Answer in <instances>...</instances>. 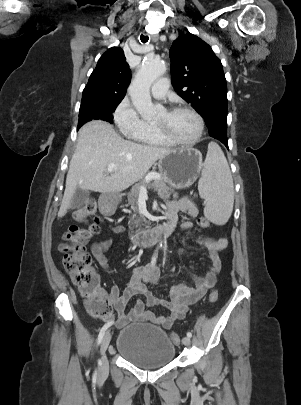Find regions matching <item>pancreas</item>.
Masks as SVG:
<instances>
[{
	"label": "pancreas",
	"mask_w": 301,
	"mask_h": 405,
	"mask_svg": "<svg viewBox=\"0 0 301 405\" xmlns=\"http://www.w3.org/2000/svg\"><path fill=\"white\" fill-rule=\"evenodd\" d=\"M141 187H146L148 189L157 191L159 197L165 201L170 198L172 193L174 197L177 196V193L173 192V190L167 185L166 180L163 177L152 179V181H148L146 179L141 180L139 183L135 184L132 187L131 191L128 193V202L134 213L138 212V198L140 195ZM128 225L130 229V235L140 233L144 229L142 219L136 216V214L133 215Z\"/></svg>",
	"instance_id": "obj_1"
}]
</instances>
